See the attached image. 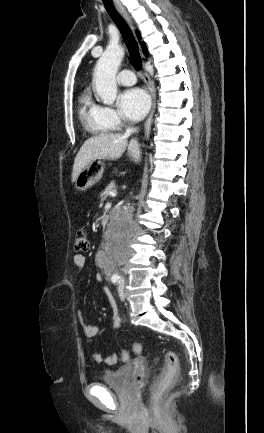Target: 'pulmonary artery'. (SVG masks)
I'll return each instance as SVG.
<instances>
[{"instance_id":"e3ab8cb5","label":"pulmonary artery","mask_w":264,"mask_h":433,"mask_svg":"<svg viewBox=\"0 0 264 433\" xmlns=\"http://www.w3.org/2000/svg\"><path fill=\"white\" fill-rule=\"evenodd\" d=\"M117 82L120 85L131 86L135 84L136 78L132 70L123 69L117 76Z\"/></svg>"}]
</instances>
